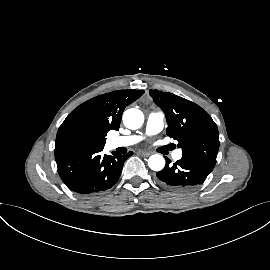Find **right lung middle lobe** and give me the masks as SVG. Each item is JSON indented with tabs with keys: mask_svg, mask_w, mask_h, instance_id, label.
<instances>
[{
	"mask_svg": "<svg viewBox=\"0 0 270 270\" xmlns=\"http://www.w3.org/2000/svg\"><path fill=\"white\" fill-rule=\"evenodd\" d=\"M104 140L99 139L92 131L85 127H75L63 131L58 138L61 149L80 147H104Z\"/></svg>",
	"mask_w": 270,
	"mask_h": 270,
	"instance_id": "1",
	"label": "right lung middle lobe"
}]
</instances>
